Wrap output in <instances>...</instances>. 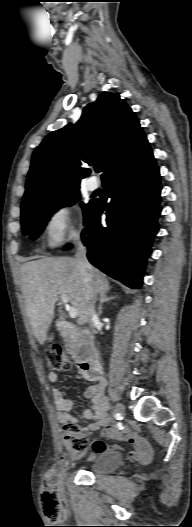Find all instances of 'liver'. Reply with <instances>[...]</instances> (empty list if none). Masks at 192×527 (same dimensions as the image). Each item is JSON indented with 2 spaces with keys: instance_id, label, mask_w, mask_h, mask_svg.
Returning a JSON list of instances; mask_svg holds the SVG:
<instances>
[{
  "instance_id": "liver-1",
  "label": "liver",
  "mask_w": 192,
  "mask_h": 527,
  "mask_svg": "<svg viewBox=\"0 0 192 527\" xmlns=\"http://www.w3.org/2000/svg\"><path fill=\"white\" fill-rule=\"evenodd\" d=\"M90 300L80 275L77 259L72 257H43L24 263L20 276L26 314L39 344L47 339L54 317L55 303L64 294L78 311V324L89 322V307L98 294L110 290L109 281L98 269L91 266Z\"/></svg>"
}]
</instances>
